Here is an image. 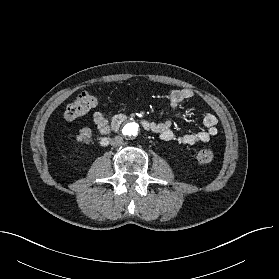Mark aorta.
I'll use <instances>...</instances> for the list:
<instances>
[{"label":"aorta","mask_w":279,"mask_h":279,"mask_svg":"<svg viewBox=\"0 0 279 279\" xmlns=\"http://www.w3.org/2000/svg\"><path fill=\"white\" fill-rule=\"evenodd\" d=\"M139 133V125L136 122H127L122 128V134L126 138H134Z\"/></svg>","instance_id":"762f6f07"}]
</instances>
